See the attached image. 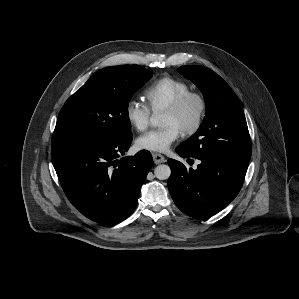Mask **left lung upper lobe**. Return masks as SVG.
<instances>
[{"label":"left lung upper lobe","instance_id":"left-lung-upper-lobe-1","mask_svg":"<svg viewBox=\"0 0 299 299\" xmlns=\"http://www.w3.org/2000/svg\"><path fill=\"white\" fill-rule=\"evenodd\" d=\"M179 73L203 93L206 116L198 131L178 147L193 158L250 161L251 140L242 106L228 84L203 66H181Z\"/></svg>","mask_w":299,"mask_h":299}]
</instances>
